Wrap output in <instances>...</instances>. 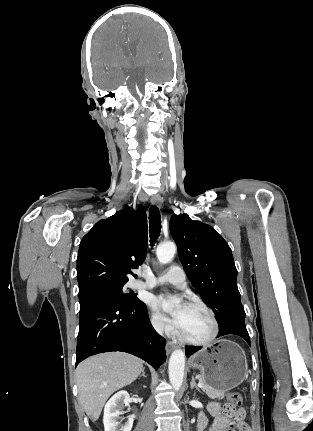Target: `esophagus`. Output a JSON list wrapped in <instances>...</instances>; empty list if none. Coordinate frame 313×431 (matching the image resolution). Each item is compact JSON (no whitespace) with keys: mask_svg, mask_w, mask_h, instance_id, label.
Instances as JSON below:
<instances>
[{"mask_svg":"<svg viewBox=\"0 0 313 431\" xmlns=\"http://www.w3.org/2000/svg\"><path fill=\"white\" fill-rule=\"evenodd\" d=\"M151 203L153 205H157L160 206L161 205V197L159 195H153L150 199ZM176 348V344L174 342L168 341L166 344V350L168 352H171L172 350H174Z\"/></svg>","mask_w":313,"mask_h":431,"instance_id":"obj_1","label":"esophagus"}]
</instances>
